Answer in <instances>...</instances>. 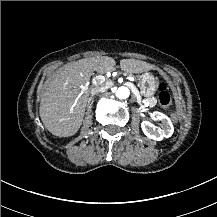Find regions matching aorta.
<instances>
[{"label":"aorta","mask_w":217,"mask_h":217,"mask_svg":"<svg viewBox=\"0 0 217 217\" xmlns=\"http://www.w3.org/2000/svg\"><path fill=\"white\" fill-rule=\"evenodd\" d=\"M129 95H130V90L125 86L119 87L116 91V96L119 99H126L129 97Z\"/></svg>","instance_id":"obj_1"}]
</instances>
